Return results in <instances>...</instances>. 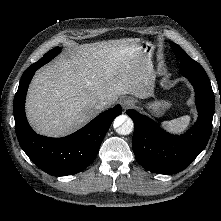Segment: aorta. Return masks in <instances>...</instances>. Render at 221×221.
Masks as SVG:
<instances>
[{
    "instance_id": "1",
    "label": "aorta",
    "mask_w": 221,
    "mask_h": 221,
    "mask_svg": "<svg viewBox=\"0 0 221 221\" xmlns=\"http://www.w3.org/2000/svg\"><path fill=\"white\" fill-rule=\"evenodd\" d=\"M116 132L120 135H128L132 133L134 129V123L127 115L118 116L113 124Z\"/></svg>"
}]
</instances>
